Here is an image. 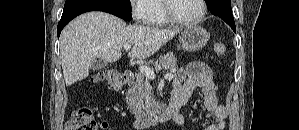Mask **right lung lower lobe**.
<instances>
[{
	"label": "right lung lower lobe",
	"mask_w": 299,
	"mask_h": 130,
	"mask_svg": "<svg viewBox=\"0 0 299 130\" xmlns=\"http://www.w3.org/2000/svg\"><path fill=\"white\" fill-rule=\"evenodd\" d=\"M88 11H103L116 15L124 20L132 19L131 10L112 2H107L105 0H68L65 2L63 14L58 23V37L69 21Z\"/></svg>",
	"instance_id": "right-lung-lower-lobe-1"
}]
</instances>
